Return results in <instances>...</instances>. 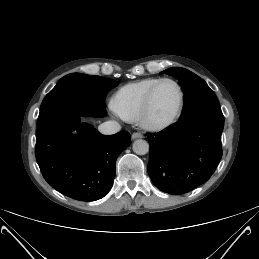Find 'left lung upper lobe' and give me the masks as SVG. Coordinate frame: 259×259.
<instances>
[{
    "mask_svg": "<svg viewBox=\"0 0 259 259\" xmlns=\"http://www.w3.org/2000/svg\"><path fill=\"white\" fill-rule=\"evenodd\" d=\"M163 72L176 77L183 88L185 107L182 119L201 112L221 110L215 93L193 72L180 67L169 68Z\"/></svg>",
    "mask_w": 259,
    "mask_h": 259,
    "instance_id": "5c2ea615",
    "label": "left lung upper lobe"
}]
</instances>
